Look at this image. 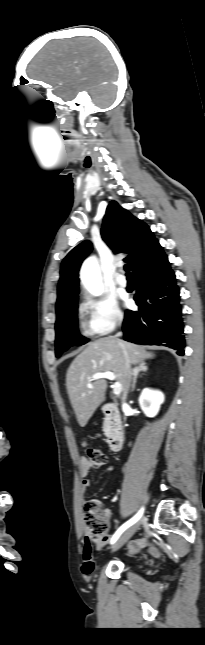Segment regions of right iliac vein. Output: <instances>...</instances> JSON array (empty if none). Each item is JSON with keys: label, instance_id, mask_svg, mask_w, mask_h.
I'll list each match as a JSON object with an SVG mask.
<instances>
[{"label": "right iliac vein", "instance_id": "right-iliac-vein-1", "mask_svg": "<svg viewBox=\"0 0 205 645\" xmlns=\"http://www.w3.org/2000/svg\"><path fill=\"white\" fill-rule=\"evenodd\" d=\"M142 521L143 519H139L122 534V536L113 545L112 552L120 549L135 534V532L139 529Z\"/></svg>", "mask_w": 205, "mask_h": 645}]
</instances>
